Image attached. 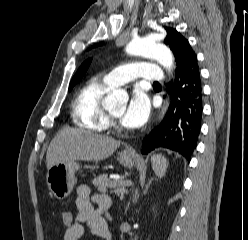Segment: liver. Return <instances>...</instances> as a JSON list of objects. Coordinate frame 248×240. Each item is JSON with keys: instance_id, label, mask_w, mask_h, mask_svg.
Masks as SVG:
<instances>
[{"instance_id": "obj_1", "label": "liver", "mask_w": 248, "mask_h": 240, "mask_svg": "<svg viewBox=\"0 0 248 240\" xmlns=\"http://www.w3.org/2000/svg\"><path fill=\"white\" fill-rule=\"evenodd\" d=\"M119 146V141L104 135L67 129L51 141L46 154L47 169L57 163L76 160L101 161L111 156Z\"/></svg>"}]
</instances>
